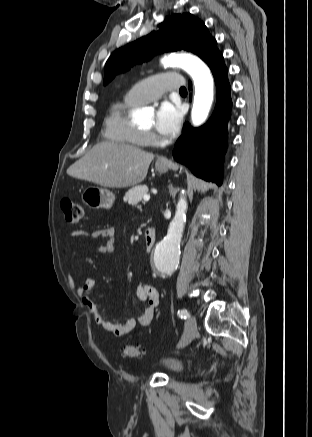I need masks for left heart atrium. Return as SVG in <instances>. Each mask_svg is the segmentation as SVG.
Listing matches in <instances>:
<instances>
[{
    "instance_id": "39dd6f15",
    "label": "left heart atrium",
    "mask_w": 312,
    "mask_h": 437,
    "mask_svg": "<svg viewBox=\"0 0 312 437\" xmlns=\"http://www.w3.org/2000/svg\"><path fill=\"white\" fill-rule=\"evenodd\" d=\"M181 121V109L170 102H163L156 111L155 128L163 136L175 135L180 128Z\"/></svg>"
}]
</instances>
